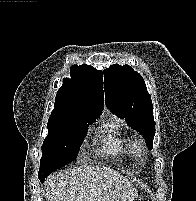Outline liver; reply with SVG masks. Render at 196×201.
Listing matches in <instances>:
<instances>
[{
  "label": "liver",
  "mask_w": 196,
  "mask_h": 201,
  "mask_svg": "<svg viewBox=\"0 0 196 201\" xmlns=\"http://www.w3.org/2000/svg\"><path fill=\"white\" fill-rule=\"evenodd\" d=\"M48 201H133L132 183L107 167H79L51 174L45 183Z\"/></svg>",
  "instance_id": "liver-1"
}]
</instances>
